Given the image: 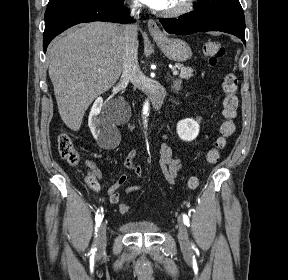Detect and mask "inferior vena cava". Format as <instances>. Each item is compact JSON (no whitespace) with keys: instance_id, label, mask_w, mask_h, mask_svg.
Instances as JSON below:
<instances>
[{"instance_id":"1","label":"inferior vena cava","mask_w":288,"mask_h":280,"mask_svg":"<svg viewBox=\"0 0 288 280\" xmlns=\"http://www.w3.org/2000/svg\"><path fill=\"white\" fill-rule=\"evenodd\" d=\"M130 8L131 16L139 18L140 5L134 4ZM123 39L125 48L122 77L129 79L134 87H138L139 90H147L149 97H152V99L149 100V103L152 104V109L160 110L164 96L167 94V89H163L161 81H158L157 78H145L139 68L136 45L137 24L123 26Z\"/></svg>"}]
</instances>
